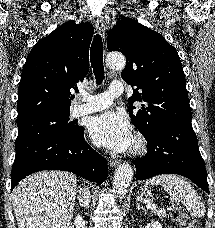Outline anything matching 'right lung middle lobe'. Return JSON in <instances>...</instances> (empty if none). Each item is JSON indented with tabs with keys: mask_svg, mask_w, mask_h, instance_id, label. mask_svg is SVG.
<instances>
[{
	"mask_svg": "<svg viewBox=\"0 0 215 228\" xmlns=\"http://www.w3.org/2000/svg\"><path fill=\"white\" fill-rule=\"evenodd\" d=\"M69 115L70 112L49 114L17 122L18 137L16 145L48 135L76 137L82 127L68 122Z\"/></svg>",
	"mask_w": 215,
	"mask_h": 228,
	"instance_id": "1",
	"label": "right lung middle lobe"
}]
</instances>
